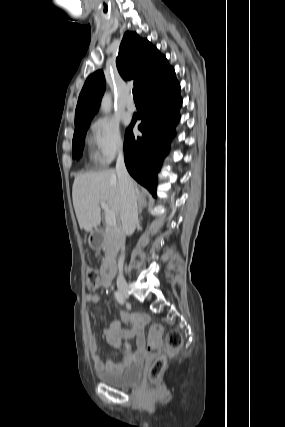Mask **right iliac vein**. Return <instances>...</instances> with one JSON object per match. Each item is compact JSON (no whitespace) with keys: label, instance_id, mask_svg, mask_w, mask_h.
<instances>
[{"label":"right iliac vein","instance_id":"right-iliac-vein-1","mask_svg":"<svg viewBox=\"0 0 285 427\" xmlns=\"http://www.w3.org/2000/svg\"><path fill=\"white\" fill-rule=\"evenodd\" d=\"M118 290L124 298H128V284L124 279L117 280Z\"/></svg>","mask_w":285,"mask_h":427}]
</instances>
